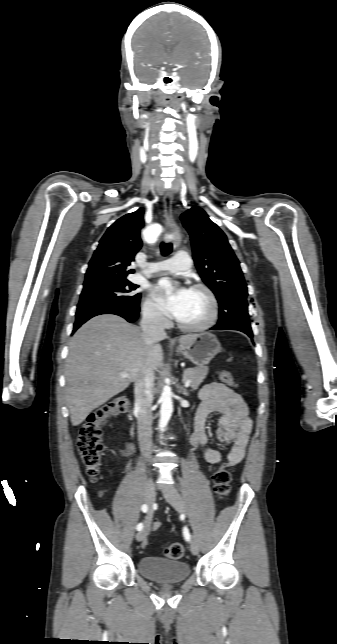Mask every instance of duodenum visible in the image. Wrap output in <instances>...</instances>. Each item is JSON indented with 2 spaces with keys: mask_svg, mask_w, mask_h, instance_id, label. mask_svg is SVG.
Wrapping results in <instances>:
<instances>
[{
  "mask_svg": "<svg viewBox=\"0 0 337 644\" xmlns=\"http://www.w3.org/2000/svg\"><path fill=\"white\" fill-rule=\"evenodd\" d=\"M134 432H135V427H132L131 434L134 435Z\"/></svg>",
  "mask_w": 337,
  "mask_h": 644,
  "instance_id": "duodenum-1",
  "label": "duodenum"
}]
</instances>
